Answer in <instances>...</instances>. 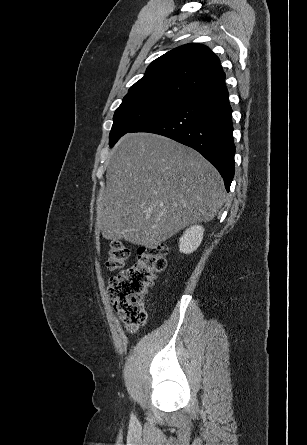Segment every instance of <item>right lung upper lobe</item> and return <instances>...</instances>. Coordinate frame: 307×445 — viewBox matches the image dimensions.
Listing matches in <instances>:
<instances>
[{"label": "right lung upper lobe", "instance_id": "right-lung-upper-lobe-1", "mask_svg": "<svg viewBox=\"0 0 307 445\" xmlns=\"http://www.w3.org/2000/svg\"><path fill=\"white\" fill-rule=\"evenodd\" d=\"M224 79L218 57L208 47L190 43L154 60L126 96L164 95L187 99Z\"/></svg>", "mask_w": 307, "mask_h": 445}]
</instances>
